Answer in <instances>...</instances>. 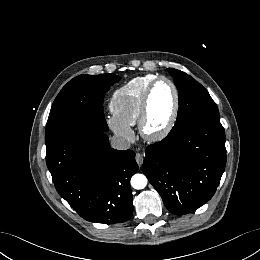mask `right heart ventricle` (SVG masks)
Segmentation results:
<instances>
[{
	"label": "right heart ventricle",
	"instance_id": "1",
	"mask_svg": "<svg viewBox=\"0 0 260 260\" xmlns=\"http://www.w3.org/2000/svg\"><path fill=\"white\" fill-rule=\"evenodd\" d=\"M156 75L136 77L119 87L111 96L113 115L128 126L137 124L143 96Z\"/></svg>",
	"mask_w": 260,
	"mask_h": 260
}]
</instances>
